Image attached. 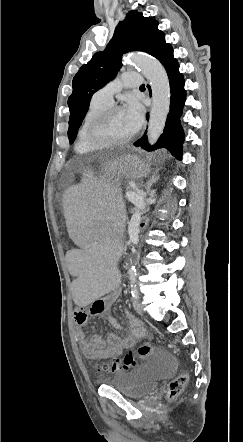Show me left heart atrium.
Instances as JSON below:
<instances>
[{"label": "left heart atrium", "instance_id": "1", "mask_svg": "<svg viewBox=\"0 0 243 442\" xmlns=\"http://www.w3.org/2000/svg\"><path fill=\"white\" fill-rule=\"evenodd\" d=\"M124 115L132 129L136 132L143 123V108L135 100H130L123 109Z\"/></svg>", "mask_w": 243, "mask_h": 442}]
</instances>
